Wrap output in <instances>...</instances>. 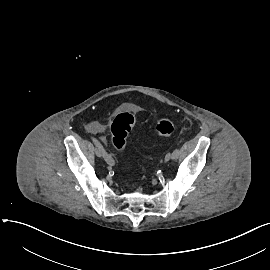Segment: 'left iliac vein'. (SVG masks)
<instances>
[{"label": "left iliac vein", "mask_w": 270, "mask_h": 270, "mask_svg": "<svg viewBox=\"0 0 270 270\" xmlns=\"http://www.w3.org/2000/svg\"><path fill=\"white\" fill-rule=\"evenodd\" d=\"M171 158H172V154L169 152V153L166 154L164 160H165V162H167V161H169Z\"/></svg>", "instance_id": "4c4485c4"}]
</instances>
